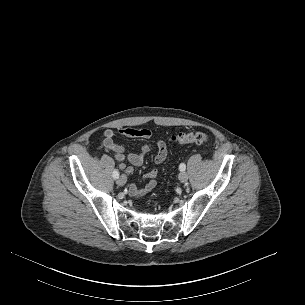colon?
Listing matches in <instances>:
<instances>
[{
    "mask_svg": "<svg viewBox=\"0 0 305 305\" xmlns=\"http://www.w3.org/2000/svg\"><path fill=\"white\" fill-rule=\"evenodd\" d=\"M170 140L175 144H203L208 141V136L203 132L179 133L172 135Z\"/></svg>",
    "mask_w": 305,
    "mask_h": 305,
    "instance_id": "obj_1",
    "label": "colon"
}]
</instances>
